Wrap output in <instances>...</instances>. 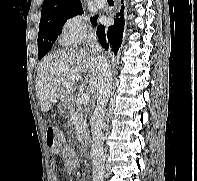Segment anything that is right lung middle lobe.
I'll return each instance as SVG.
<instances>
[{
  "label": "right lung middle lobe",
  "instance_id": "1",
  "mask_svg": "<svg viewBox=\"0 0 197 181\" xmlns=\"http://www.w3.org/2000/svg\"><path fill=\"white\" fill-rule=\"evenodd\" d=\"M83 14V9L78 8L64 13L54 14L42 17L39 24L38 33V58L44 57L51 49L53 43L60 34L63 25L67 19L76 15ZM97 16L91 17L93 25L97 24Z\"/></svg>",
  "mask_w": 197,
  "mask_h": 181
}]
</instances>
